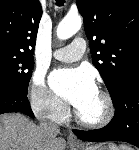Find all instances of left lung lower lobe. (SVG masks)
<instances>
[{
    "label": "left lung lower lobe",
    "instance_id": "left-lung-lower-lobe-1",
    "mask_svg": "<svg viewBox=\"0 0 139 150\" xmlns=\"http://www.w3.org/2000/svg\"><path fill=\"white\" fill-rule=\"evenodd\" d=\"M115 115L108 126L91 131L73 130L83 141H123L139 148V73L132 75L112 99Z\"/></svg>",
    "mask_w": 139,
    "mask_h": 150
}]
</instances>
